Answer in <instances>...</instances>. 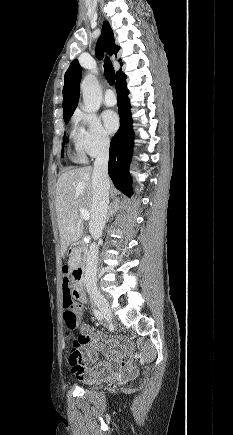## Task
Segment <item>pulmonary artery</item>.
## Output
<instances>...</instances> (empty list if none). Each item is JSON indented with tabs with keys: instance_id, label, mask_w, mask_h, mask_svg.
<instances>
[{
	"instance_id": "pulmonary-artery-1",
	"label": "pulmonary artery",
	"mask_w": 233,
	"mask_h": 435,
	"mask_svg": "<svg viewBox=\"0 0 233 435\" xmlns=\"http://www.w3.org/2000/svg\"><path fill=\"white\" fill-rule=\"evenodd\" d=\"M116 95L113 93L112 90L108 89L105 93V97H104V103L107 106H113L116 104Z\"/></svg>"
}]
</instances>
